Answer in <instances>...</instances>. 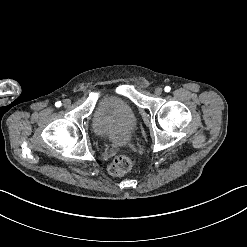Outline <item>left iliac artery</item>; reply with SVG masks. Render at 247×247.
I'll use <instances>...</instances> for the list:
<instances>
[{"label": "left iliac artery", "mask_w": 247, "mask_h": 247, "mask_svg": "<svg viewBox=\"0 0 247 247\" xmlns=\"http://www.w3.org/2000/svg\"><path fill=\"white\" fill-rule=\"evenodd\" d=\"M170 90H171V88H170L169 86H166V87L164 88V91H165V92H170Z\"/></svg>", "instance_id": "1"}]
</instances>
